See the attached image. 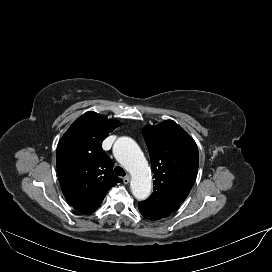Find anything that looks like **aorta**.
<instances>
[{"label": "aorta", "instance_id": "1", "mask_svg": "<svg viewBox=\"0 0 272 272\" xmlns=\"http://www.w3.org/2000/svg\"><path fill=\"white\" fill-rule=\"evenodd\" d=\"M113 154L131 174V191L135 198H148L151 192V177L147 161L137 143L129 137H120L113 145Z\"/></svg>", "mask_w": 272, "mask_h": 272}]
</instances>
